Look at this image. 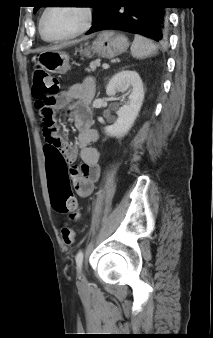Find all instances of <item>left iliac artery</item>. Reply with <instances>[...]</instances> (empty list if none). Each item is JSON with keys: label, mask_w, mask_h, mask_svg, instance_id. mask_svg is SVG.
<instances>
[{"label": "left iliac artery", "mask_w": 213, "mask_h": 338, "mask_svg": "<svg viewBox=\"0 0 213 338\" xmlns=\"http://www.w3.org/2000/svg\"><path fill=\"white\" fill-rule=\"evenodd\" d=\"M75 260H76V265H77V267L80 269L81 266H82V262H83V251H82V250H80V251L76 254Z\"/></svg>", "instance_id": "44dca946"}]
</instances>
